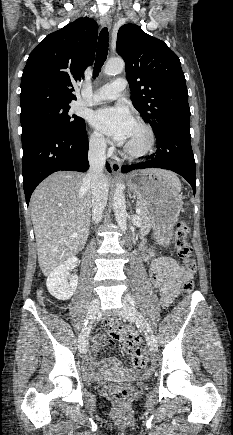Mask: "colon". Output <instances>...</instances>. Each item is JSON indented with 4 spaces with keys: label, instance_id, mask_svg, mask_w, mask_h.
<instances>
[{
    "label": "colon",
    "instance_id": "5ec220e1",
    "mask_svg": "<svg viewBox=\"0 0 233 435\" xmlns=\"http://www.w3.org/2000/svg\"><path fill=\"white\" fill-rule=\"evenodd\" d=\"M189 234L188 225L179 221L176 225L175 243L179 258L182 260V264L185 269L193 273L196 270V263L193 258V251L190 243L187 240ZM193 291L192 280H185L182 282V292L184 295H189ZM125 346L134 352H139L141 356H146L147 353L144 350L139 349L138 345L134 344L131 339H128ZM103 392L111 397L117 405L126 403L129 399V391L123 387H104Z\"/></svg>",
    "mask_w": 233,
    "mask_h": 435
}]
</instances>
